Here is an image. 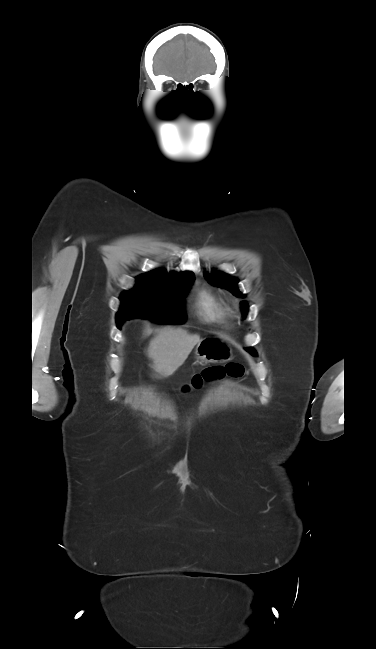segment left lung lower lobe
Wrapping results in <instances>:
<instances>
[{"label": "left lung lower lobe", "instance_id": "obj_1", "mask_svg": "<svg viewBox=\"0 0 376 649\" xmlns=\"http://www.w3.org/2000/svg\"><path fill=\"white\" fill-rule=\"evenodd\" d=\"M246 350H247V351H250L252 354H256L255 350H254L253 348H251V347H250V348H247Z\"/></svg>", "mask_w": 376, "mask_h": 649}]
</instances>
